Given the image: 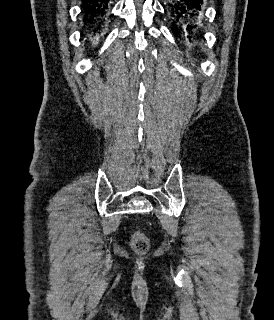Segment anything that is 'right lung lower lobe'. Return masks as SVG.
<instances>
[{
  "label": "right lung lower lobe",
  "instance_id": "1",
  "mask_svg": "<svg viewBox=\"0 0 274 320\" xmlns=\"http://www.w3.org/2000/svg\"><path fill=\"white\" fill-rule=\"evenodd\" d=\"M109 0H82V18L87 33H98L107 17Z\"/></svg>",
  "mask_w": 274,
  "mask_h": 320
}]
</instances>
